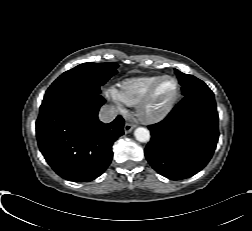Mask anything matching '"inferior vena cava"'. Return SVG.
I'll list each match as a JSON object with an SVG mask.
<instances>
[{"label":"inferior vena cava","mask_w":252,"mask_h":231,"mask_svg":"<svg viewBox=\"0 0 252 231\" xmlns=\"http://www.w3.org/2000/svg\"><path fill=\"white\" fill-rule=\"evenodd\" d=\"M118 114V110L114 106L103 105L99 111V120L103 123H109L113 121Z\"/></svg>","instance_id":"1"}]
</instances>
